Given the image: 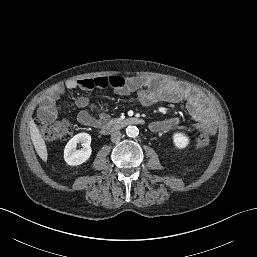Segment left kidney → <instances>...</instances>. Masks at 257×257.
<instances>
[{
    "mask_svg": "<svg viewBox=\"0 0 257 257\" xmlns=\"http://www.w3.org/2000/svg\"><path fill=\"white\" fill-rule=\"evenodd\" d=\"M172 138H173L174 145L178 149H183L187 147L190 142L189 137L183 133H175Z\"/></svg>",
    "mask_w": 257,
    "mask_h": 257,
    "instance_id": "5707ae66",
    "label": "left kidney"
}]
</instances>
